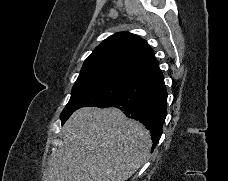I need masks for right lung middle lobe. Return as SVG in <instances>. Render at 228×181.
<instances>
[{
    "instance_id": "1",
    "label": "right lung middle lobe",
    "mask_w": 228,
    "mask_h": 181,
    "mask_svg": "<svg viewBox=\"0 0 228 181\" xmlns=\"http://www.w3.org/2000/svg\"><path fill=\"white\" fill-rule=\"evenodd\" d=\"M131 79L114 76H89L78 78L71 98L61 113L62 125L71 114L86 106H98L116 96Z\"/></svg>"
}]
</instances>
